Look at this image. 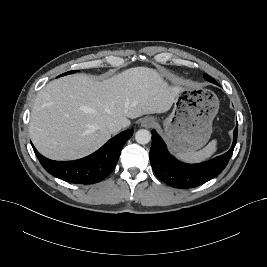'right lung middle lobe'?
<instances>
[{
	"mask_svg": "<svg viewBox=\"0 0 267 267\" xmlns=\"http://www.w3.org/2000/svg\"><path fill=\"white\" fill-rule=\"evenodd\" d=\"M75 71H69V72H66V73H64V74H62V75H59L58 77H61V76H64V75H67V74H72V73H74Z\"/></svg>",
	"mask_w": 267,
	"mask_h": 267,
	"instance_id": "right-lung-middle-lobe-1",
	"label": "right lung middle lobe"
}]
</instances>
